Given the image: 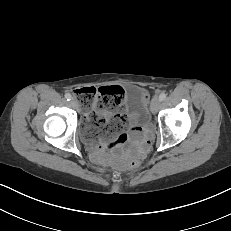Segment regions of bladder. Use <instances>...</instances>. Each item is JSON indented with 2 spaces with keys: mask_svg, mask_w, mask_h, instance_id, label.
<instances>
[{
  "mask_svg": "<svg viewBox=\"0 0 231 231\" xmlns=\"http://www.w3.org/2000/svg\"><path fill=\"white\" fill-rule=\"evenodd\" d=\"M126 112L136 123L147 126L150 122L149 101L145 90L138 85H131L124 94ZM78 136L85 144L96 140L92 127L83 123L78 128Z\"/></svg>",
  "mask_w": 231,
  "mask_h": 231,
  "instance_id": "obj_1",
  "label": "bladder"
}]
</instances>
